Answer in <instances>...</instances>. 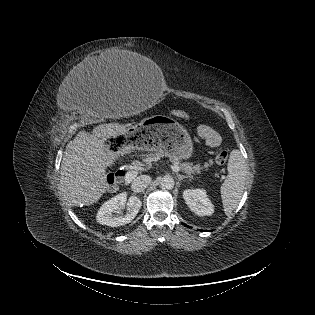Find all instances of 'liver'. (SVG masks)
Returning a JSON list of instances; mask_svg holds the SVG:
<instances>
[{
    "label": "liver",
    "instance_id": "liver-1",
    "mask_svg": "<svg viewBox=\"0 0 315 315\" xmlns=\"http://www.w3.org/2000/svg\"><path fill=\"white\" fill-rule=\"evenodd\" d=\"M105 58L103 55L96 60L91 59V62L97 61L98 66L105 65L116 71L119 63L117 57L106 62ZM127 132L128 125L104 123L94 127L91 133L79 131L68 142L61 162L60 184L70 206L92 205L100 200L108 186L106 169L114 164L116 158L105 141ZM131 149V145L124 146L121 154L130 153Z\"/></svg>",
    "mask_w": 315,
    "mask_h": 315
}]
</instances>
